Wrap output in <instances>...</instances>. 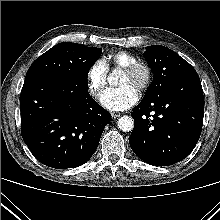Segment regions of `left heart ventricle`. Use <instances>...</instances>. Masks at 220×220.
Here are the masks:
<instances>
[{
    "label": "left heart ventricle",
    "mask_w": 220,
    "mask_h": 220,
    "mask_svg": "<svg viewBox=\"0 0 220 220\" xmlns=\"http://www.w3.org/2000/svg\"><path fill=\"white\" fill-rule=\"evenodd\" d=\"M138 80L139 77L131 76L124 72L120 80V85L130 84L137 89Z\"/></svg>",
    "instance_id": "b2bd125f"
}]
</instances>
